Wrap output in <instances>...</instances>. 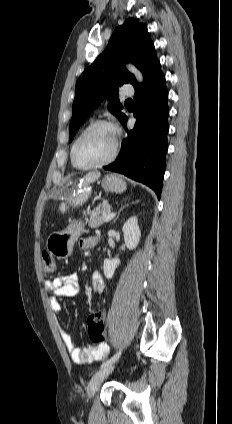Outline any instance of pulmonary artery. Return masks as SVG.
<instances>
[{
	"label": "pulmonary artery",
	"mask_w": 232,
	"mask_h": 424,
	"mask_svg": "<svg viewBox=\"0 0 232 424\" xmlns=\"http://www.w3.org/2000/svg\"><path fill=\"white\" fill-rule=\"evenodd\" d=\"M123 94L125 96H132L134 94V89L130 84H126L123 88Z\"/></svg>",
	"instance_id": "1"
}]
</instances>
